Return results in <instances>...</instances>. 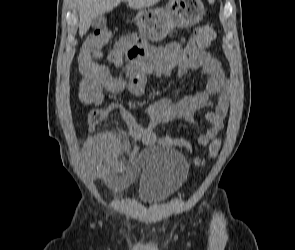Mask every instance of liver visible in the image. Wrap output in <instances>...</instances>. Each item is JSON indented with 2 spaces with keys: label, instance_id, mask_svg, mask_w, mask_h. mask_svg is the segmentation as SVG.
<instances>
[{
  "label": "liver",
  "instance_id": "obj_1",
  "mask_svg": "<svg viewBox=\"0 0 295 250\" xmlns=\"http://www.w3.org/2000/svg\"><path fill=\"white\" fill-rule=\"evenodd\" d=\"M121 2H128L130 8H148L160 0H78L79 11V35L82 37L87 33L94 17L111 12Z\"/></svg>",
  "mask_w": 295,
  "mask_h": 250
}]
</instances>
